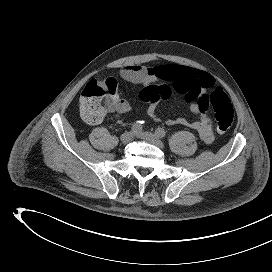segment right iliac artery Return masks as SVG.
Here are the masks:
<instances>
[{
	"label": "right iliac artery",
	"mask_w": 272,
	"mask_h": 272,
	"mask_svg": "<svg viewBox=\"0 0 272 272\" xmlns=\"http://www.w3.org/2000/svg\"><path fill=\"white\" fill-rule=\"evenodd\" d=\"M131 130L133 133H140L142 131L141 123H135L132 125Z\"/></svg>",
	"instance_id": "obj_1"
}]
</instances>
